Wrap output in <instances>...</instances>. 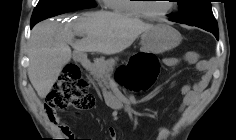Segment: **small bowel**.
I'll return each instance as SVG.
<instances>
[{"label":"small bowel","instance_id":"obj_1","mask_svg":"<svg viewBox=\"0 0 236 140\" xmlns=\"http://www.w3.org/2000/svg\"><path fill=\"white\" fill-rule=\"evenodd\" d=\"M164 65L175 67L180 63L194 64L198 71L203 74L198 82L193 86L185 85L182 88V100L178 109L179 114L186 113L197 102L200 94L206 89L211 79V74L207 71V62L200 58V55L195 51L185 53L181 57H166L163 59ZM62 131L65 135H71V131L67 123H63ZM110 140H118L117 133L114 128L109 129ZM169 131L165 127H159L156 140H168Z\"/></svg>","mask_w":236,"mask_h":140}]
</instances>
